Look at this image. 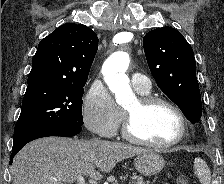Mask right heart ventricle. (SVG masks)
Instances as JSON below:
<instances>
[{
  "label": "right heart ventricle",
  "mask_w": 224,
  "mask_h": 184,
  "mask_svg": "<svg viewBox=\"0 0 224 184\" xmlns=\"http://www.w3.org/2000/svg\"><path fill=\"white\" fill-rule=\"evenodd\" d=\"M139 93L142 94V95L148 94V92H139Z\"/></svg>",
  "instance_id": "e07e8e85"
}]
</instances>
